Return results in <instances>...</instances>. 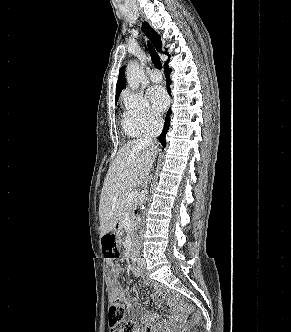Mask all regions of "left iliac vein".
I'll use <instances>...</instances> for the list:
<instances>
[{
  "label": "left iliac vein",
  "instance_id": "1",
  "mask_svg": "<svg viewBox=\"0 0 291 332\" xmlns=\"http://www.w3.org/2000/svg\"><path fill=\"white\" fill-rule=\"evenodd\" d=\"M138 265H139L141 268H144V267L146 266L145 259H144V258H139V260H138Z\"/></svg>",
  "mask_w": 291,
  "mask_h": 332
}]
</instances>
